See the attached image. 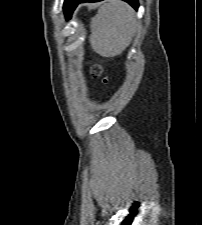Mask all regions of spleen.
I'll return each instance as SVG.
<instances>
[{
	"mask_svg": "<svg viewBox=\"0 0 202 225\" xmlns=\"http://www.w3.org/2000/svg\"><path fill=\"white\" fill-rule=\"evenodd\" d=\"M135 28L131 7L121 0H108L92 19L91 47L103 57L120 55L130 45Z\"/></svg>",
	"mask_w": 202,
	"mask_h": 225,
	"instance_id": "spleen-1",
	"label": "spleen"
}]
</instances>
